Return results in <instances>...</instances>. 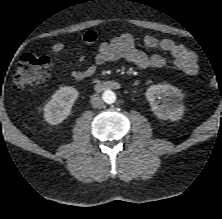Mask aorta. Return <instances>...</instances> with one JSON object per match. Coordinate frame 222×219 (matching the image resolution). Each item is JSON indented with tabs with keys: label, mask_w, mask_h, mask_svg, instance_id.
<instances>
[{
	"label": "aorta",
	"mask_w": 222,
	"mask_h": 219,
	"mask_svg": "<svg viewBox=\"0 0 222 219\" xmlns=\"http://www.w3.org/2000/svg\"><path fill=\"white\" fill-rule=\"evenodd\" d=\"M103 99L106 103L112 104L116 101V95L113 91L107 90L103 94Z\"/></svg>",
	"instance_id": "obj_1"
}]
</instances>
